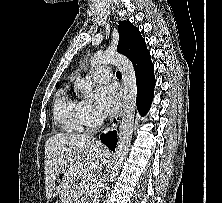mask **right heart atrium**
Here are the masks:
<instances>
[{
  "mask_svg": "<svg viewBox=\"0 0 222 203\" xmlns=\"http://www.w3.org/2000/svg\"><path fill=\"white\" fill-rule=\"evenodd\" d=\"M80 108L83 124L88 127H93L98 119L97 113L93 106L89 102L81 101Z\"/></svg>",
  "mask_w": 222,
  "mask_h": 203,
  "instance_id": "1",
  "label": "right heart atrium"
}]
</instances>
